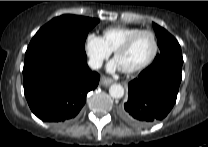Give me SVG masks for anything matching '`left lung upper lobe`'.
I'll use <instances>...</instances> for the list:
<instances>
[{
    "label": "left lung upper lobe",
    "instance_id": "1",
    "mask_svg": "<svg viewBox=\"0 0 208 147\" xmlns=\"http://www.w3.org/2000/svg\"><path fill=\"white\" fill-rule=\"evenodd\" d=\"M153 28L158 39V47L160 48V53L156 56L155 60L162 57H172L183 61L181 47L178 41L161 26L153 23Z\"/></svg>",
    "mask_w": 208,
    "mask_h": 147
}]
</instances>
